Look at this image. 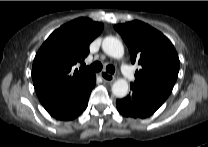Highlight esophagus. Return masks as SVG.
Returning <instances> with one entry per match:
<instances>
[{
    "mask_svg": "<svg viewBox=\"0 0 208 147\" xmlns=\"http://www.w3.org/2000/svg\"><path fill=\"white\" fill-rule=\"evenodd\" d=\"M100 76L105 82L112 83L116 78L115 76L103 71L100 73Z\"/></svg>",
    "mask_w": 208,
    "mask_h": 147,
    "instance_id": "34e87169",
    "label": "esophagus"
}]
</instances>
